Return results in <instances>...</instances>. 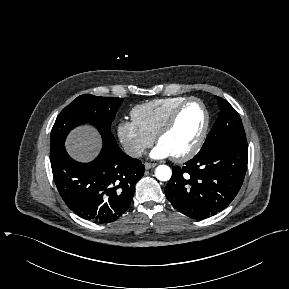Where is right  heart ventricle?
I'll return each mask as SVG.
<instances>
[{
    "instance_id": "1",
    "label": "right heart ventricle",
    "mask_w": 289,
    "mask_h": 289,
    "mask_svg": "<svg viewBox=\"0 0 289 289\" xmlns=\"http://www.w3.org/2000/svg\"><path fill=\"white\" fill-rule=\"evenodd\" d=\"M187 98L174 96L139 104L131 111L132 120L146 133L155 137L173 110Z\"/></svg>"
}]
</instances>
